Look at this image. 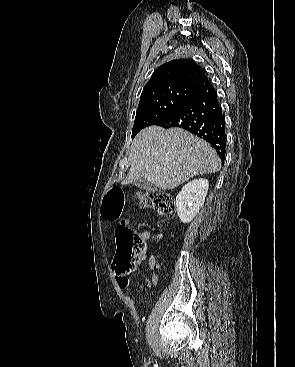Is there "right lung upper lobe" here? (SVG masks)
<instances>
[{"mask_svg": "<svg viewBox=\"0 0 295 367\" xmlns=\"http://www.w3.org/2000/svg\"><path fill=\"white\" fill-rule=\"evenodd\" d=\"M202 68L188 59L172 60L158 67L143 88L141 98L153 93L175 88H187L193 92L209 84Z\"/></svg>", "mask_w": 295, "mask_h": 367, "instance_id": "cb5924a9", "label": "right lung upper lobe"}]
</instances>
